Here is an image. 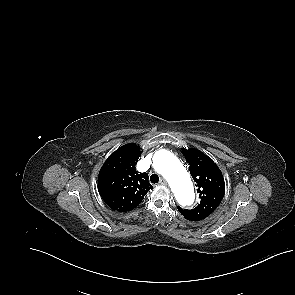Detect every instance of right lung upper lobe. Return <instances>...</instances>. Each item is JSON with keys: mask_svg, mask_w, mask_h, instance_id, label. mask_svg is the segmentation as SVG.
<instances>
[{"mask_svg": "<svg viewBox=\"0 0 295 295\" xmlns=\"http://www.w3.org/2000/svg\"><path fill=\"white\" fill-rule=\"evenodd\" d=\"M140 155L139 146L127 144L117 149L103 164L98 188L102 199L111 209L130 211L153 189L148 174L138 173L135 169Z\"/></svg>", "mask_w": 295, "mask_h": 295, "instance_id": "1", "label": "right lung upper lobe"}]
</instances>
